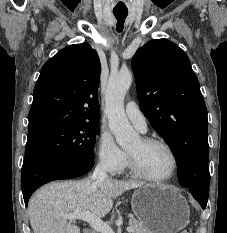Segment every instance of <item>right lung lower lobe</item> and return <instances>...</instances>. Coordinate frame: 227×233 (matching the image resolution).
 I'll return each mask as SVG.
<instances>
[{
    "label": "right lung lower lobe",
    "mask_w": 227,
    "mask_h": 233,
    "mask_svg": "<svg viewBox=\"0 0 227 233\" xmlns=\"http://www.w3.org/2000/svg\"><path fill=\"white\" fill-rule=\"evenodd\" d=\"M94 162L83 163L73 160H52L41 162L22 171L21 187L25 205L32 193L45 183L58 179L81 176L92 169Z\"/></svg>",
    "instance_id": "98d812e1"
}]
</instances>
